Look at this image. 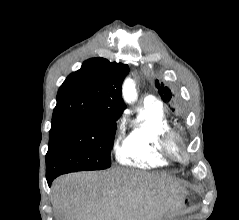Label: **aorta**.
I'll use <instances>...</instances> for the list:
<instances>
[{
  "label": "aorta",
  "instance_id": "762f6f07",
  "mask_svg": "<svg viewBox=\"0 0 239 220\" xmlns=\"http://www.w3.org/2000/svg\"><path fill=\"white\" fill-rule=\"evenodd\" d=\"M122 94L126 103H133L137 99V91L132 79L127 78L124 81Z\"/></svg>",
  "mask_w": 239,
  "mask_h": 220
}]
</instances>
